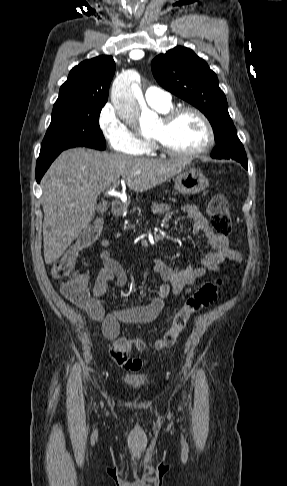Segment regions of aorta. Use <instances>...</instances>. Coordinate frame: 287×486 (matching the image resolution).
<instances>
[{
    "label": "aorta",
    "instance_id": "762f6f07",
    "mask_svg": "<svg viewBox=\"0 0 287 486\" xmlns=\"http://www.w3.org/2000/svg\"><path fill=\"white\" fill-rule=\"evenodd\" d=\"M111 101L117 114L127 123H139L142 129L151 128L156 116L141 98L140 87L128 75L118 77L112 86Z\"/></svg>",
    "mask_w": 287,
    "mask_h": 486
}]
</instances>
